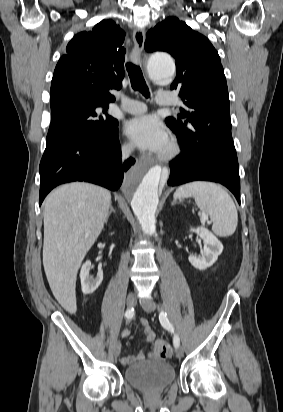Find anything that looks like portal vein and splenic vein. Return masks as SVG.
<instances>
[{
  "mask_svg": "<svg viewBox=\"0 0 283 412\" xmlns=\"http://www.w3.org/2000/svg\"><path fill=\"white\" fill-rule=\"evenodd\" d=\"M202 218H203V221H207V220H208V217H207L206 215H204Z\"/></svg>",
  "mask_w": 283,
  "mask_h": 412,
  "instance_id": "18ae733b",
  "label": "portal vein and splenic vein"
}]
</instances>
